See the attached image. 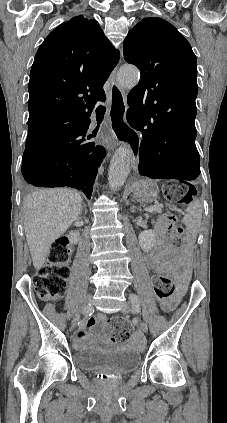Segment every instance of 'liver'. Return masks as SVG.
Masks as SVG:
<instances>
[{"mask_svg": "<svg viewBox=\"0 0 227 423\" xmlns=\"http://www.w3.org/2000/svg\"><path fill=\"white\" fill-rule=\"evenodd\" d=\"M24 231L37 271L49 255L51 243L63 235L82 210L79 192L69 188L36 190L26 196Z\"/></svg>", "mask_w": 227, "mask_h": 423, "instance_id": "obj_1", "label": "liver"}]
</instances>
